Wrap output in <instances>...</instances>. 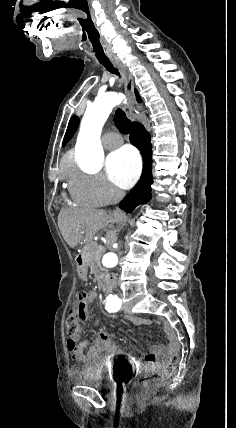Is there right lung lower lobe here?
Wrapping results in <instances>:
<instances>
[{
    "label": "right lung lower lobe",
    "instance_id": "98d812e1",
    "mask_svg": "<svg viewBox=\"0 0 236 428\" xmlns=\"http://www.w3.org/2000/svg\"><path fill=\"white\" fill-rule=\"evenodd\" d=\"M130 141L141 151L143 156V173L140 181L119 204V207L127 213H130L136 206L145 204L151 199V184L153 183L150 135L140 123H133Z\"/></svg>",
    "mask_w": 236,
    "mask_h": 428
}]
</instances>
